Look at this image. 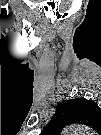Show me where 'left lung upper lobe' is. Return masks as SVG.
<instances>
[{"mask_svg":"<svg viewBox=\"0 0 101 135\" xmlns=\"http://www.w3.org/2000/svg\"><path fill=\"white\" fill-rule=\"evenodd\" d=\"M95 103L84 98L75 100H65L59 103L55 117L60 118L64 124L84 122L83 119L88 116L89 111Z\"/></svg>","mask_w":101,"mask_h":135,"instance_id":"obj_1","label":"left lung upper lobe"}]
</instances>
